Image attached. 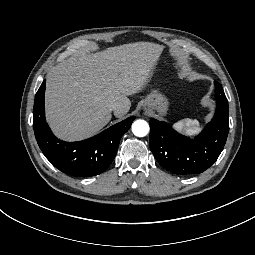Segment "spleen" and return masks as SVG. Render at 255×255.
I'll use <instances>...</instances> for the list:
<instances>
[{"instance_id": "1", "label": "spleen", "mask_w": 255, "mask_h": 255, "mask_svg": "<svg viewBox=\"0 0 255 255\" xmlns=\"http://www.w3.org/2000/svg\"><path fill=\"white\" fill-rule=\"evenodd\" d=\"M198 121L189 118L182 119L175 123L173 127L180 132H186L189 135L197 134L201 128L198 127Z\"/></svg>"}]
</instances>
